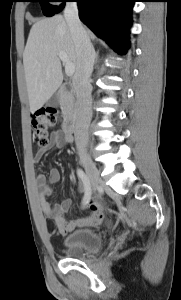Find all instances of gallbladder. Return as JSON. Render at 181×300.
<instances>
[{
  "instance_id": "1",
  "label": "gallbladder",
  "mask_w": 181,
  "mask_h": 300,
  "mask_svg": "<svg viewBox=\"0 0 181 300\" xmlns=\"http://www.w3.org/2000/svg\"><path fill=\"white\" fill-rule=\"evenodd\" d=\"M59 103V96L54 94L48 101L47 106L49 107H57Z\"/></svg>"
}]
</instances>
